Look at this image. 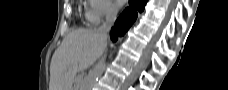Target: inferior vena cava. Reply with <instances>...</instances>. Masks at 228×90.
I'll use <instances>...</instances> for the list:
<instances>
[{
	"mask_svg": "<svg viewBox=\"0 0 228 90\" xmlns=\"http://www.w3.org/2000/svg\"><path fill=\"white\" fill-rule=\"evenodd\" d=\"M117 10L113 6H108L106 10V21L96 30V32L107 40V34L116 20Z\"/></svg>",
	"mask_w": 228,
	"mask_h": 90,
	"instance_id": "inferior-vena-cava-1",
	"label": "inferior vena cava"
}]
</instances>
